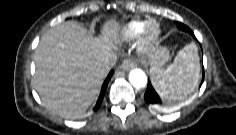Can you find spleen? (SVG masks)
<instances>
[{"mask_svg": "<svg viewBox=\"0 0 236 135\" xmlns=\"http://www.w3.org/2000/svg\"><path fill=\"white\" fill-rule=\"evenodd\" d=\"M152 83L156 91L167 100H181L191 94L198 84L200 63L194 43L180 50L166 69H152Z\"/></svg>", "mask_w": 236, "mask_h": 135, "instance_id": "1", "label": "spleen"}]
</instances>
